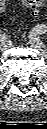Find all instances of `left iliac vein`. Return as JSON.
I'll use <instances>...</instances> for the list:
<instances>
[{
	"instance_id": "left-iliac-vein-1",
	"label": "left iliac vein",
	"mask_w": 47,
	"mask_h": 129,
	"mask_svg": "<svg viewBox=\"0 0 47 129\" xmlns=\"http://www.w3.org/2000/svg\"><path fill=\"white\" fill-rule=\"evenodd\" d=\"M30 45L33 48L39 50L44 57L46 56L45 46L38 37H36V36L31 37Z\"/></svg>"
}]
</instances>
